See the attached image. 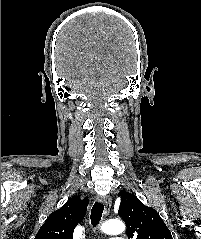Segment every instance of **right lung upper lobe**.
Wrapping results in <instances>:
<instances>
[{"instance_id":"obj_1","label":"right lung upper lobe","mask_w":201,"mask_h":239,"mask_svg":"<svg viewBox=\"0 0 201 239\" xmlns=\"http://www.w3.org/2000/svg\"><path fill=\"white\" fill-rule=\"evenodd\" d=\"M88 206V200L74 196L60 209L49 215L40 227L35 239H73V231L80 223Z\"/></svg>"}]
</instances>
